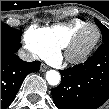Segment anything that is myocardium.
Instances as JSON below:
<instances>
[{
  "instance_id": "obj_1",
  "label": "myocardium",
  "mask_w": 109,
  "mask_h": 109,
  "mask_svg": "<svg viewBox=\"0 0 109 109\" xmlns=\"http://www.w3.org/2000/svg\"><path fill=\"white\" fill-rule=\"evenodd\" d=\"M93 27L97 31L96 39L93 41V43L83 52L81 53H74V49L77 46L82 34L84 31L89 28ZM101 39V32L99 27L96 24L93 23H87L83 25L82 27L78 28L70 37V39L67 41V43L62 48V56L65 59L66 62L73 65H78L83 62H85L94 52L96 49L99 41Z\"/></svg>"
}]
</instances>
